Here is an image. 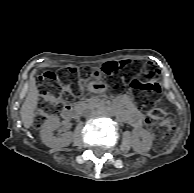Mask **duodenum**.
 <instances>
[{
	"label": "duodenum",
	"mask_w": 194,
	"mask_h": 193,
	"mask_svg": "<svg viewBox=\"0 0 194 193\" xmlns=\"http://www.w3.org/2000/svg\"><path fill=\"white\" fill-rule=\"evenodd\" d=\"M78 113H79L78 105L77 104H69L64 108L62 115L65 119L71 120V119H74L75 117H77Z\"/></svg>",
	"instance_id": "duodenum-1"
}]
</instances>
